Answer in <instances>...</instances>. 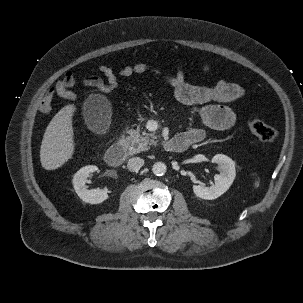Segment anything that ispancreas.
<instances>
[{
  "mask_svg": "<svg viewBox=\"0 0 303 303\" xmlns=\"http://www.w3.org/2000/svg\"><path fill=\"white\" fill-rule=\"evenodd\" d=\"M127 133L128 136L125 138V141L128 147L129 155L145 151L151 145H155L157 143V137L154 134H148L146 132H142L141 134L139 128L136 130L129 129Z\"/></svg>",
  "mask_w": 303,
  "mask_h": 303,
  "instance_id": "pancreas-1",
  "label": "pancreas"
}]
</instances>
